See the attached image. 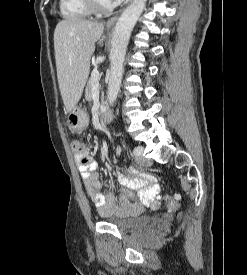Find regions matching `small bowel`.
<instances>
[{"label":"small bowel","mask_w":247,"mask_h":275,"mask_svg":"<svg viewBox=\"0 0 247 275\" xmlns=\"http://www.w3.org/2000/svg\"><path fill=\"white\" fill-rule=\"evenodd\" d=\"M81 177L88 189L90 199L100 214H129L141 210V206L156 207L159 204L160 187L155 178L130 168L128 174H118L119 183L138 193L139 203H133L123 195L111 191L101 192L102 182L98 173V164L88 154L77 157Z\"/></svg>","instance_id":"small-bowel-1"}]
</instances>
